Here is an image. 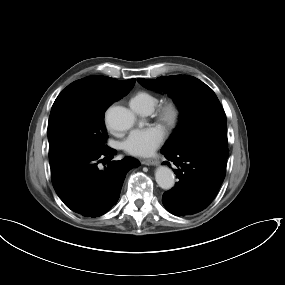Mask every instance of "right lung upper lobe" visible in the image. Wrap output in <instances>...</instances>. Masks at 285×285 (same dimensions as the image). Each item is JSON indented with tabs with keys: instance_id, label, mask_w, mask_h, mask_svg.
I'll return each mask as SVG.
<instances>
[{
	"instance_id": "cb5924a9",
	"label": "right lung upper lobe",
	"mask_w": 285,
	"mask_h": 285,
	"mask_svg": "<svg viewBox=\"0 0 285 285\" xmlns=\"http://www.w3.org/2000/svg\"><path fill=\"white\" fill-rule=\"evenodd\" d=\"M88 79L97 80L104 84H106L111 90L115 93H118L122 96L128 94V92L133 88L135 84V79H130L126 81H119L114 78L106 77V76H89L86 77Z\"/></svg>"
}]
</instances>
